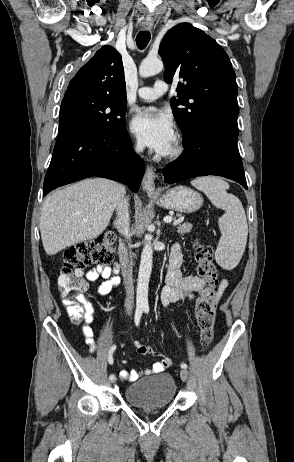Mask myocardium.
<instances>
[{
  "mask_svg": "<svg viewBox=\"0 0 294 462\" xmlns=\"http://www.w3.org/2000/svg\"><path fill=\"white\" fill-rule=\"evenodd\" d=\"M183 151H184V147H183L182 141H181L180 137H178L176 139L175 144L171 148V150L168 153L165 154V158H167V159L178 158L183 153Z\"/></svg>",
  "mask_w": 294,
  "mask_h": 462,
  "instance_id": "obj_1",
  "label": "myocardium"
}]
</instances>
